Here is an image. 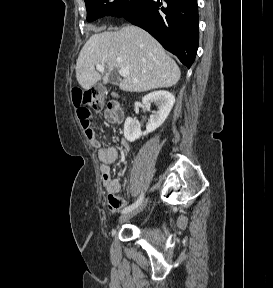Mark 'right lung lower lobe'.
Instances as JSON below:
<instances>
[{
	"label": "right lung lower lobe",
	"instance_id": "1",
	"mask_svg": "<svg viewBox=\"0 0 273 288\" xmlns=\"http://www.w3.org/2000/svg\"><path fill=\"white\" fill-rule=\"evenodd\" d=\"M122 17L148 31L190 68L199 41L197 0H138Z\"/></svg>",
	"mask_w": 273,
	"mask_h": 288
}]
</instances>
